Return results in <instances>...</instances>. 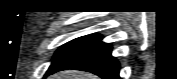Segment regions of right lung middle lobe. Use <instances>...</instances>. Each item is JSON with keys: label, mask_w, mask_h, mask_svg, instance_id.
<instances>
[{"label": "right lung middle lobe", "mask_w": 177, "mask_h": 79, "mask_svg": "<svg viewBox=\"0 0 177 79\" xmlns=\"http://www.w3.org/2000/svg\"><path fill=\"white\" fill-rule=\"evenodd\" d=\"M89 36H83L77 39H74L65 45H63L55 54L54 61L52 62V65L50 68L57 65L63 58H65L69 53H71L73 50H75L77 47H79L82 43H84ZM49 68V69H50Z\"/></svg>", "instance_id": "dd1d6c3e"}]
</instances>
